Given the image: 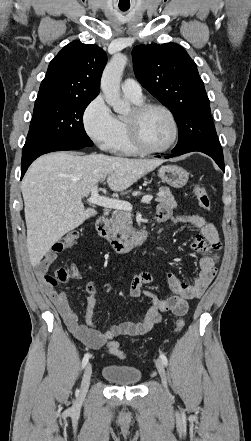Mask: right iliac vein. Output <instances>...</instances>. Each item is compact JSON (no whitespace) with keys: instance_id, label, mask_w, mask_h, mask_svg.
I'll list each match as a JSON object with an SVG mask.
<instances>
[{"instance_id":"obj_1","label":"right iliac vein","mask_w":251,"mask_h":441,"mask_svg":"<svg viewBox=\"0 0 251 441\" xmlns=\"http://www.w3.org/2000/svg\"><path fill=\"white\" fill-rule=\"evenodd\" d=\"M92 375V365L89 363L85 370L82 377L81 387H80V393H79V399L82 400L85 398L89 385H90V379Z\"/></svg>"}]
</instances>
